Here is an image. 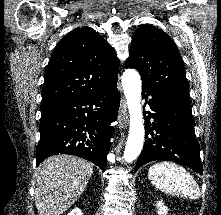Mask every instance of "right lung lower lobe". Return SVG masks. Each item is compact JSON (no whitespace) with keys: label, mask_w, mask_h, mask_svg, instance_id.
Listing matches in <instances>:
<instances>
[{"label":"right lung lower lobe","mask_w":221,"mask_h":215,"mask_svg":"<svg viewBox=\"0 0 221 215\" xmlns=\"http://www.w3.org/2000/svg\"><path fill=\"white\" fill-rule=\"evenodd\" d=\"M120 105L117 80L61 106L41 111L38 166L56 154H71L105 170L110 138Z\"/></svg>","instance_id":"98d812e1"}]
</instances>
